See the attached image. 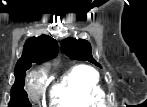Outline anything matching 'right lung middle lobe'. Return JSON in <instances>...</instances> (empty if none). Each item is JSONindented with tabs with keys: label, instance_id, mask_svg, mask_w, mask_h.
<instances>
[{
	"label": "right lung middle lobe",
	"instance_id": "right-lung-middle-lobe-1",
	"mask_svg": "<svg viewBox=\"0 0 147 107\" xmlns=\"http://www.w3.org/2000/svg\"><path fill=\"white\" fill-rule=\"evenodd\" d=\"M31 67L25 66L22 68L18 74L15 75V84L11 89V100L9 103V107H30L31 104L28 100V96L26 91L24 90V80L26 73L25 71Z\"/></svg>",
	"mask_w": 147,
	"mask_h": 107
}]
</instances>
